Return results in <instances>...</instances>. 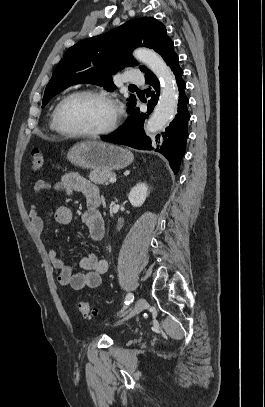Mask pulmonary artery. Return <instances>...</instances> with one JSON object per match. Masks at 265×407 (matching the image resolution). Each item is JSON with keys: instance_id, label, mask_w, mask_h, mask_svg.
Here are the masks:
<instances>
[{"instance_id": "pulmonary-artery-1", "label": "pulmonary artery", "mask_w": 265, "mask_h": 407, "mask_svg": "<svg viewBox=\"0 0 265 407\" xmlns=\"http://www.w3.org/2000/svg\"><path fill=\"white\" fill-rule=\"evenodd\" d=\"M125 80L130 84H142L144 82V76L140 71L132 69L126 73Z\"/></svg>"}]
</instances>
